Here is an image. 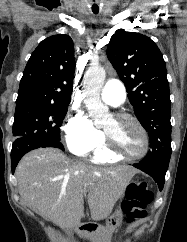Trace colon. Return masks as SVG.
<instances>
[{
	"mask_svg": "<svg viewBox=\"0 0 187 242\" xmlns=\"http://www.w3.org/2000/svg\"><path fill=\"white\" fill-rule=\"evenodd\" d=\"M153 194L146 182L132 184L127 189L123 211L128 223L141 220L146 216V207L152 202Z\"/></svg>",
	"mask_w": 187,
	"mask_h": 242,
	"instance_id": "5ec220e1",
	"label": "colon"
}]
</instances>
